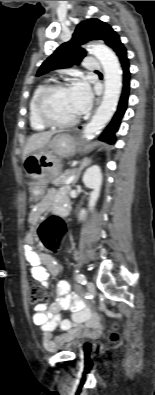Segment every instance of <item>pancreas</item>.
<instances>
[{
	"label": "pancreas",
	"instance_id": "1",
	"mask_svg": "<svg viewBox=\"0 0 155 395\" xmlns=\"http://www.w3.org/2000/svg\"><path fill=\"white\" fill-rule=\"evenodd\" d=\"M74 171L75 170L73 169L64 173H60L58 176H55L51 179V183L55 186H61L74 173Z\"/></svg>",
	"mask_w": 155,
	"mask_h": 395
}]
</instances>
